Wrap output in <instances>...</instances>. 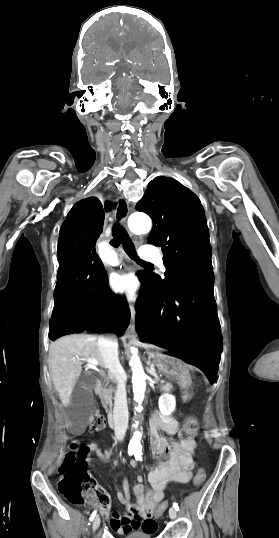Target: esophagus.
<instances>
[{
	"label": "esophagus",
	"instance_id": "esophagus-1",
	"mask_svg": "<svg viewBox=\"0 0 279 538\" xmlns=\"http://www.w3.org/2000/svg\"><path fill=\"white\" fill-rule=\"evenodd\" d=\"M129 215V203L128 201L120 197L117 200V206L115 210V220L120 225H123ZM130 311H131V321L128 329L126 330L125 337L133 338L136 336L135 333V307L134 305H130Z\"/></svg>",
	"mask_w": 279,
	"mask_h": 538
}]
</instances>
